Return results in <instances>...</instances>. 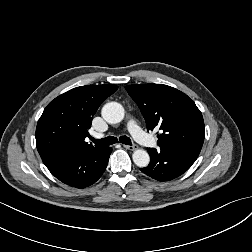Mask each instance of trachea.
Masks as SVG:
<instances>
[{"mask_svg":"<svg viewBox=\"0 0 252 252\" xmlns=\"http://www.w3.org/2000/svg\"><path fill=\"white\" fill-rule=\"evenodd\" d=\"M91 141L98 145L108 146L118 142V139L113 136H108L102 139L91 138ZM119 141L125 145H132L131 139L127 136L119 137Z\"/></svg>","mask_w":252,"mask_h":252,"instance_id":"3493384b","label":"trachea"}]
</instances>
